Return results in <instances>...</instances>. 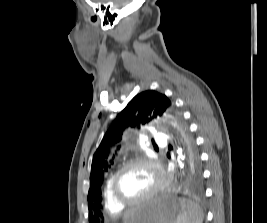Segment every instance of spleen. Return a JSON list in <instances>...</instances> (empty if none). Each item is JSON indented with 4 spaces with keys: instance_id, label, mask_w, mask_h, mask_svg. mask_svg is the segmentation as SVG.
Here are the masks:
<instances>
[{
    "instance_id": "3e777b00",
    "label": "spleen",
    "mask_w": 267,
    "mask_h": 223,
    "mask_svg": "<svg viewBox=\"0 0 267 223\" xmlns=\"http://www.w3.org/2000/svg\"><path fill=\"white\" fill-rule=\"evenodd\" d=\"M182 212L178 215L176 223H203L204 214L201 207L192 200L180 198Z\"/></svg>"
}]
</instances>
